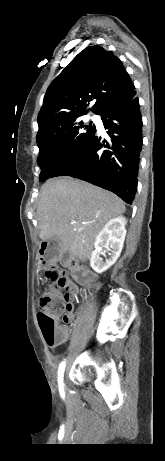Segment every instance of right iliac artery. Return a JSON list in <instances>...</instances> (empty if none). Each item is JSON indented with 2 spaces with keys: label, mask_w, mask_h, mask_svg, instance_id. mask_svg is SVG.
Segmentation results:
<instances>
[{
  "label": "right iliac artery",
  "mask_w": 165,
  "mask_h": 461,
  "mask_svg": "<svg viewBox=\"0 0 165 461\" xmlns=\"http://www.w3.org/2000/svg\"><path fill=\"white\" fill-rule=\"evenodd\" d=\"M64 369H65V363L62 362V363L60 364L59 370H58V376H59V378H58V383H59L60 391L63 390V386H64V384H63V382H62V377H63Z\"/></svg>",
  "instance_id": "1"
}]
</instances>
